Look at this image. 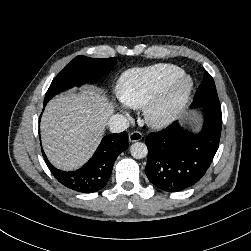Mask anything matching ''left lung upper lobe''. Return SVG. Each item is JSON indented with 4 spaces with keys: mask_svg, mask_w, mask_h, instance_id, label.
I'll use <instances>...</instances> for the list:
<instances>
[{
    "mask_svg": "<svg viewBox=\"0 0 251 251\" xmlns=\"http://www.w3.org/2000/svg\"><path fill=\"white\" fill-rule=\"evenodd\" d=\"M192 106L221 109L215 83L207 71L204 73V79L197 89Z\"/></svg>",
    "mask_w": 251,
    "mask_h": 251,
    "instance_id": "obj_1",
    "label": "left lung upper lobe"
}]
</instances>
